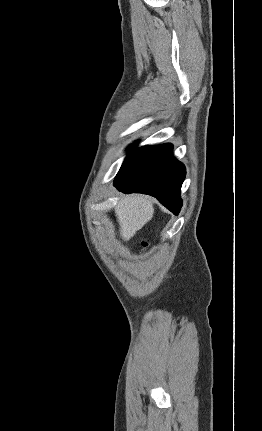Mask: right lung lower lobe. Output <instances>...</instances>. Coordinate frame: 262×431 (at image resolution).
Here are the masks:
<instances>
[{
	"mask_svg": "<svg viewBox=\"0 0 262 431\" xmlns=\"http://www.w3.org/2000/svg\"><path fill=\"white\" fill-rule=\"evenodd\" d=\"M133 144L130 148H134ZM171 144L143 146L130 150L116 175L114 186L123 193H143L156 197L174 214L182 206L181 185L185 166L172 154Z\"/></svg>",
	"mask_w": 262,
	"mask_h": 431,
	"instance_id": "98d812e1",
	"label": "right lung lower lobe"
}]
</instances>
